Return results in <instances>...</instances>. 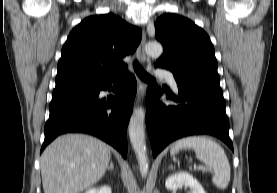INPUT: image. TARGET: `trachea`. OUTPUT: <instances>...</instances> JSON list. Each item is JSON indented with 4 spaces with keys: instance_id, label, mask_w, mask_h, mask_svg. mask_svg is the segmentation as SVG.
Wrapping results in <instances>:
<instances>
[{
    "instance_id": "3493384b",
    "label": "trachea",
    "mask_w": 277,
    "mask_h": 193,
    "mask_svg": "<svg viewBox=\"0 0 277 193\" xmlns=\"http://www.w3.org/2000/svg\"><path fill=\"white\" fill-rule=\"evenodd\" d=\"M134 70L138 77L146 82H154L155 79L145 72L137 60L134 61Z\"/></svg>"
}]
</instances>
